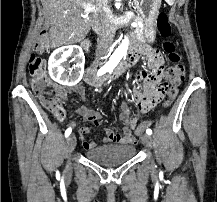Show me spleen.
<instances>
[{
    "mask_svg": "<svg viewBox=\"0 0 217 202\" xmlns=\"http://www.w3.org/2000/svg\"><path fill=\"white\" fill-rule=\"evenodd\" d=\"M166 2H169V5H174V0H166Z\"/></svg>",
    "mask_w": 217,
    "mask_h": 202,
    "instance_id": "obj_1",
    "label": "spleen"
}]
</instances>
